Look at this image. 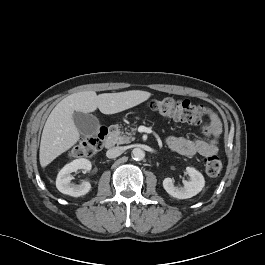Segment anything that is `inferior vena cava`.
<instances>
[{"label":"inferior vena cava","mask_w":265,"mask_h":265,"mask_svg":"<svg viewBox=\"0 0 265 265\" xmlns=\"http://www.w3.org/2000/svg\"><path fill=\"white\" fill-rule=\"evenodd\" d=\"M123 148L122 147H113L106 152V156L108 158H116L120 156L123 153Z\"/></svg>","instance_id":"602c4592"}]
</instances>
